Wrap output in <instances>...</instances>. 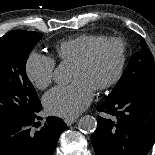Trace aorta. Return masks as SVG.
Here are the masks:
<instances>
[{
	"mask_svg": "<svg viewBox=\"0 0 155 155\" xmlns=\"http://www.w3.org/2000/svg\"><path fill=\"white\" fill-rule=\"evenodd\" d=\"M54 79L57 83H66L69 80V73L64 65H59L54 71ZM97 127L96 119L91 115L82 116L78 122V128L84 133L94 132Z\"/></svg>",
	"mask_w": 155,
	"mask_h": 155,
	"instance_id": "obj_1",
	"label": "aorta"
}]
</instances>
